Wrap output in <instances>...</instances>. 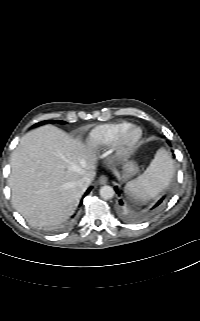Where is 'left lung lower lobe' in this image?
I'll list each match as a JSON object with an SVG mask.
<instances>
[{"label": "left lung lower lobe", "instance_id": "0a47b994", "mask_svg": "<svg viewBox=\"0 0 200 321\" xmlns=\"http://www.w3.org/2000/svg\"><path fill=\"white\" fill-rule=\"evenodd\" d=\"M116 192L119 194V191L117 188H115ZM164 200V197L161 198L156 204H154L152 207H149V208H142V209H139V210H135V211H131L129 212V217L130 219H139L141 218L142 216H144L146 213H148L149 211L151 210H154L156 209ZM119 205H120V209L122 211L125 210V201L123 199H120L119 200Z\"/></svg>", "mask_w": 200, "mask_h": 321}]
</instances>
